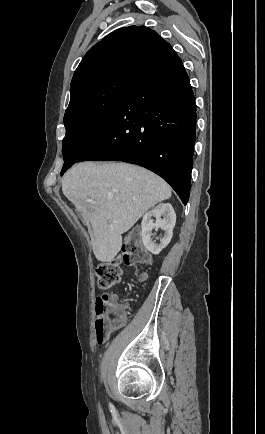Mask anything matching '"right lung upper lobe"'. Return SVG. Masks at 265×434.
I'll list each match as a JSON object with an SVG mask.
<instances>
[{
    "mask_svg": "<svg viewBox=\"0 0 265 434\" xmlns=\"http://www.w3.org/2000/svg\"><path fill=\"white\" fill-rule=\"evenodd\" d=\"M171 45L145 27H123L94 45L77 67L71 89L103 77L137 75L154 63Z\"/></svg>",
    "mask_w": 265,
    "mask_h": 434,
    "instance_id": "right-lung-upper-lobe-1",
    "label": "right lung upper lobe"
}]
</instances>
